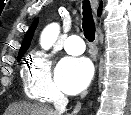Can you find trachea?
<instances>
[{
  "instance_id": "obj_1",
  "label": "trachea",
  "mask_w": 131,
  "mask_h": 115,
  "mask_svg": "<svg viewBox=\"0 0 131 115\" xmlns=\"http://www.w3.org/2000/svg\"><path fill=\"white\" fill-rule=\"evenodd\" d=\"M83 31L85 38L92 42L95 39V23L92 16L90 2H83Z\"/></svg>"
}]
</instances>
